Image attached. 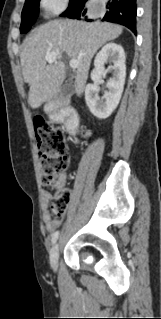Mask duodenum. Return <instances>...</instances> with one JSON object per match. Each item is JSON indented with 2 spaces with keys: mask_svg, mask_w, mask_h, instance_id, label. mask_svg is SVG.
Listing matches in <instances>:
<instances>
[{
  "mask_svg": "<svg viewBox=\"0 0 161 319\" xmlns=\"http://www.w3.org/2000/svg\"><path fill=\"white\" fill-rule=\"evenodd\" d=\"M46 114L51 120L64 124L71 134L75 133L80 124L77 110L69 106L66 99L61 98L49 103Z\"/></svg>",
  "mask_w": 161,
  "mask_h": 319,
  "instance_id": "410a0bca",
  "label": "duodenum"
}]
</instances>
